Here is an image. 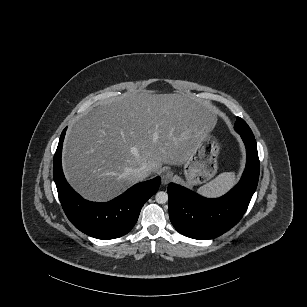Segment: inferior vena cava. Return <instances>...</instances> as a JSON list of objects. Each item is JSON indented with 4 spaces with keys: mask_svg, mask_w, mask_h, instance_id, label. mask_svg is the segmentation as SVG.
I'll use <instances>...</instances> for the list:
<instances>
[{
    "mask_svg": "<svg viewBox=\"0 0 307 307\" xmlns=\"http://www.w3.org/2000/svg\"><path fill=\"white\" fill-rule=\"evenodd\" d=\"M132 172H133L134 177L138 181L145 179L149 175V169H148L147 165H142L138 168H135V169H133Z\"/></svg>",
    "mask_w": 307,
    "mask_h": 307,
    "instance_id": "602c4592",
    "label": "inferior vena cava"
}]
</instances>
